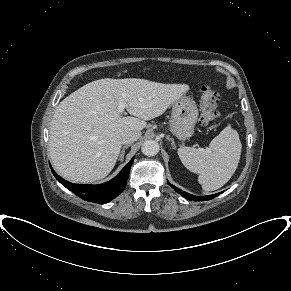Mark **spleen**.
<instances>
[{"instance_id": "3e777b00", "label": "spleen", "mask_w": 291, "mask_h": 291, "mask_svg": "<svg viewBox=\"0 0 291 291\" xmlns=\"http://www.w3.org/2000/svg\"><path fill=\"white\" fill-rule=\"evenodd\" d=\"M242 144L235 129L228 125L209 145L208 150L180 147L178 156L183 165L199 175L204 191H213L225 185L238 166Z\"/></svg>"}]
</instances>
